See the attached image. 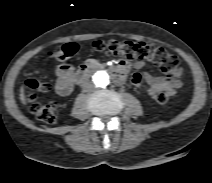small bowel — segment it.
<instances>
[{
	"mask_svg": "<svg viewBox=\"0 0 212 183\" xmlns=\"http://www.w3.org/2000/svg\"><path fill=\"white\" fill-rule=\"evenodd\" d=\"M144 66V61H137L133 65V67L137 70L142 69ZM130 67L131 65L128 62H121L119 69L125 75ZM181 74L182 70L180 69L179 76L173 79H166L164 77L152 75L147 72H144L143 74L135 73L131 78V83L137 88H143L142 80H144L148 84V87L145 89L148 94L154 95L158 92L164 91L169 96H173L177 89L182 86ZM56 75V92L61 96L70 94L75 83L72 68L69 66L61 65L58 67Z\"/></svg>",
	"mask_w": 212,
	"mask_h": 183,
	"instance_id": "small-bowel-1",
	"label": "small bowel"
}]
</instances>
